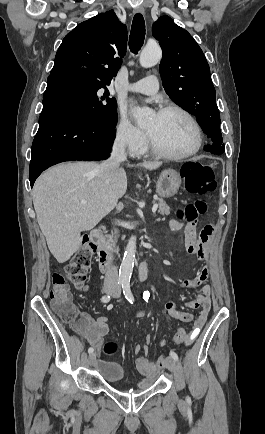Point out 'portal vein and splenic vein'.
Wrapping results in <instances>:
<instances>
[{"mask_svg":"<svg viewBox=\"0 0 265 434\" xmlns=\"http://www.w3.org/2000/svg\"><path fill=\"white\" fill-rule=\"evenodd\" d=\"M80 204H87V202H86V200H80ZM157 208H158V204H154V206L152 208L153 214H155Z\"/></svg>","mask_w":265,"mask_h":434,"instance_id":"portal-vein-and-splenic-vein-1","label":"portal vein and splenic vein"}]
</instances>
